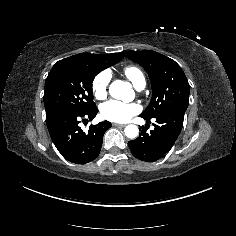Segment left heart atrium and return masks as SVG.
<instances>
[{
  "instance_id": "1",
  "label": "left heart atrium",
  "mask_w": 236,
  "mask_h": 236,
  "mask_svg": "<svg viewBox=\"0 0 236 236\" xmlns=\"http://www.w3.org/2000/svg\"><path fill=\"white\" fill-rule=\"evenodd\" d=\"M140 108L136 104L110 100L100 107L102 118L112 122H125L137 114Z\"/></svg>"
}]
</instances>
